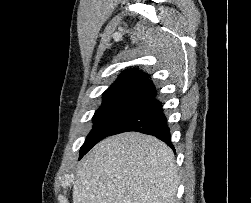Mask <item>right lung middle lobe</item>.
Segmentation results:
<instances>
[{"mask_svg": "<svg viewBox=\"0 0 251 203\" xmlns=\"http://www.w3.org/2000/svg\"><path fill=\"white\" fill-rule=\"evenodd\" d=\"M141 109L131 107H100L94 114V126L80 149L82 158L96 143L110 136L124 122L141 113Z\"/></svg>", "mask_w": 251, "mask_h": 203, "instance_id": "1", "label": "right lung middle lobe"}]
</instances>
